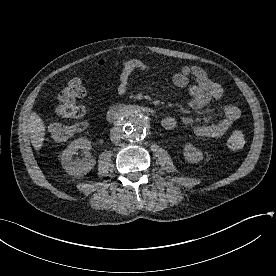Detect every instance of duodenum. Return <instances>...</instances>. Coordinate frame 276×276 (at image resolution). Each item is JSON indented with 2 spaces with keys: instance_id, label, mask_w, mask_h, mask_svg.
I'll list each match as a JSON object with an SVG mask.
<instances>
[{
  "instance_id": "410a0bca",
  "label": "duodenum",
  "mask_w": 276,
  "mask_h": 276,
  "mask_svg": "<svg viewBox=\"0 0 276 276\" xmlns=\"http://www.w3.org/2000/svg\"><path fill=\"white\" fill-rule=\"evenodd\" d=\"M135 109L143 110L145 112H150V109L139 107V106L116 105V106L111 107L108 110L107 120L110 122H114V121L120 119L127 112L135 110Z\"/></svg>"
}]
</instances>
